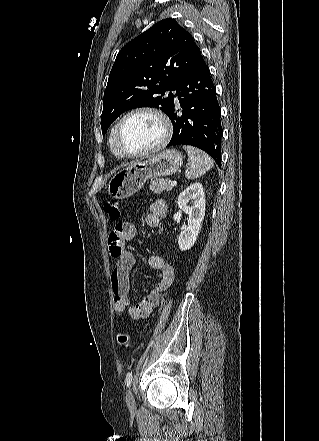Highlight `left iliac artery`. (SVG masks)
<instances>
[{
    "mask_svg": "<svg viewBox=\"0 0 319 441\" xmlns=\"http://www.w3.org/2000/svg\"><path fill=\"white\" fill-rule=\"evenodd\" d=\"M132 382V372H128L125 379V384L127 387H130Z\"/></svg>",
    "mask_w": 319,
    "mask_h": 441,
    "instance_id": "obj_1",
    "label": "left iliac artery"
}]
</instances>
